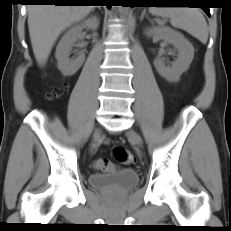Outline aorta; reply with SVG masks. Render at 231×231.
<instances>
[{
  "label": "aorta",
  "instance_id": "1",
  "mask_svg": "<svg viewBox=\"0 0 231 231\" xmlns=\"http://www.w3.org/2000/svg\"><path fill=\"white\" fill-rule=\"evenodd\" d=\"M128 9H129L128 7H124V8H123V10H124L125 12H127Z\"/></svg>",
  "mask_w": 231,
  "mask_h": 231
}]
</instances>
